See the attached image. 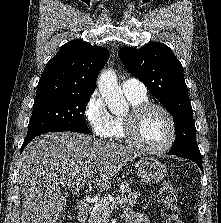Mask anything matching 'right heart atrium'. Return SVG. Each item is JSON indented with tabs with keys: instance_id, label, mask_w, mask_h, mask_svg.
Returning a JSON list of instances; mask_svg holds the SVG:
<instances>
[{
	"instance_id": "1",
	"label": "right heart atrium",
	"mask_w": 221,
	"mask_h": 223,
	"mask_svg": "<svg viewBox=\"0 0 221 223\" xmlns=\"http://www.w3.org/2000/svg\"><path fill=\"white\" fill-rule=\"evenodd\" d=\"M84 117L93 134L102 139L112 137L113 117L98 92L91 94L84 108Z\"/></svg>"
}]
</instances>
